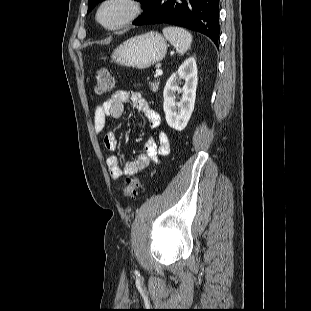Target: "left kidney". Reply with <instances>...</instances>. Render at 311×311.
<instances>
[{
  "label": "left kidney",
  "mask_w": 311,
  "mask_h": 311,
  "mask_svg": "<svg viewBox=\"0 0 311 311\" xmlns=\"http://www.w3.org/2000/svg\"><path fill=\"white\" fill-rule=\"evenodd\" d=\"M197 65L193 57L186 59L167 80L163 91V109L167 124L181 131L186 126L194 110L197 88ZM185 81L182 88L179 87ZM176 93H182L180 101H176Z\"/></svg>",
  "instance_id": "left-kidney-1"
}]
</instances>
